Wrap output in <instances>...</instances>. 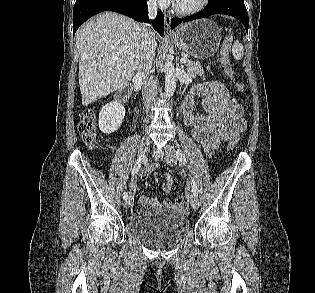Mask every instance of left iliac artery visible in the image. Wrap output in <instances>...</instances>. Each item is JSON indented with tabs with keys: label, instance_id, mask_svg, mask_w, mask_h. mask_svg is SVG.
I'll list each match as a JSON object with an SVG mask.
<instances>
[{
	"label": "left iliac artery",
	"instance_id": "obj_1",
	"mask_svg": "<svg viewBox=\"0 0 315 293\" xmlns=\"http://www.w3.org/2000/svg\"><path fill=\"white\" fill-rule=\"evenodd\" d=\"M176 155H177L178 160H179L183 165H185V163H186L185 154H184L180 149H178V150L176 151ZM191 180H192V182H191V184H192V192H193V194H194L195 196H198V188H197V185H196V183L194 182V180H193L192 178H191Z\"/></svg>",
	"mask_w": 315,
	"mask_h": 293
}]
</instances>
